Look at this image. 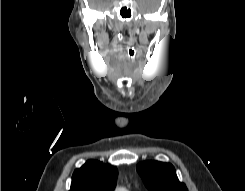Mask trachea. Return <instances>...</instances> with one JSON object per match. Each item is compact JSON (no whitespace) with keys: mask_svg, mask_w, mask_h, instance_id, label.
<instances>
[{"mask_svg":"<svg viewBox=\"0 0 245 191\" xmlns=\"http://www.w3.org/2000/svg\"><path fill=\"white\" fill-rule=\"evenodd\" d=\"M127 56L129 59L133 60L136 57V51L132 48L128 49Z\"/></svg>","mask_w":245,"mask_h":191,"instance_id":"trachea-1","label":"trachea"}]
</instances>
